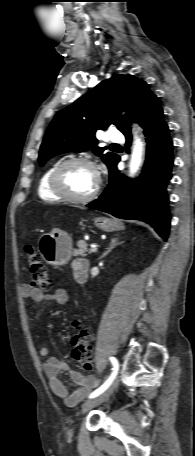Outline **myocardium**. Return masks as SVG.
Returning <instances> with one entry per match:
<instances>
[{
  "label": "myocardium",
  "mask_w": 195,
  "mask_h": 456,
  "mask_svg": "<svg viewBox=\"0 0 195 456\" xmlns=\"http://www.w3.org/2000/svg\"><path fill=\"white\" fill-rule=\"evenodd\" d=\"M73 164H84L90 167L96 175V184L93 190L85 196L78 197L71 195L66 191L65 187L63 186L62 174L68 166ZM49 186L52 192L55 195H57L60 199L70 203L82 204L93 200L97 196L101 186V178L95 164L90 159L85 157H72L58 163L55 166L49 177Z\"/></svg>",
  "instance_id": "1"
}]
</instances>
